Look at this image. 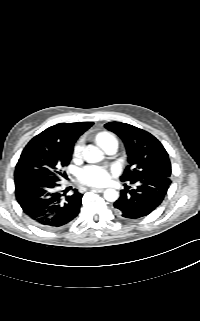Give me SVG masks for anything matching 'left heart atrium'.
Listing matches in <instances>:
<instances>
[{"label":"left heart atrium","instance_id":"obj_1","mask_svg":"<svg viewBox=\"0 0 200 321\" xmlns=\"http://www.w3.org/2000/svg\"><path fill=\"white\" fill-rule=\"evenodd\" d=\"M107 177L106 170L99 167L87 168L82 172V179L89 183L99 184Z\"/></svg>","mask_w":200,"mask_h":321}]
</instances>
